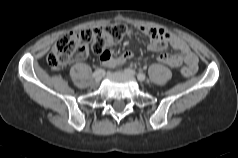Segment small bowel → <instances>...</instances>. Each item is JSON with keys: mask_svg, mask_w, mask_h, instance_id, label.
Masks as SVG:
<instances>
[{"mask_svg": "<svg viewBox=\"0 0 238 158\" xmlns=\"http://www.w3.org/2000/svg\"><path fill=\"white\" fill-rule=\"evenodd\" d=\"M139 30L148 37L149 49L153 51H163L171 46L178 52L177 54H160L158 56L159 62L171 68H178L183 65L196 66V55L188 44L177 35L165 29L155 27L141 26ZM132 57L133 53L130 51H126L119 56H114L109 50H105L100 55V60L106 67L114 68L130 60Z\"/></svg>", "mask_w": 238, "mask_h": 158, "instance_id": "obj_1", "label": "small bowel"}]
</instances>
